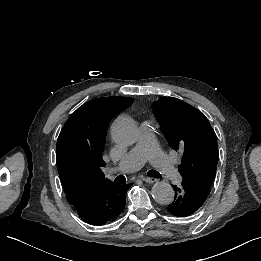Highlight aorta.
Masks as SVG:
<instances>
[{"label":"aorta","instance_id":"obj_1","mask_svg":"<svg viewBox=\"0 0 261 261\" xmlns=\"http://www.w3.org/2000/svg\"><path fill=\"white\" fill-rule=\"evenodd\" d=\"M111 135L117 144L129 146L137 141L138 129L133 121L121 118L112 124ZM151 192L154 200L159 204L168 205L174 200V190L168 182H156Z\"/></svg>","mask_w":261,"mask_h":261}]
</instances>
